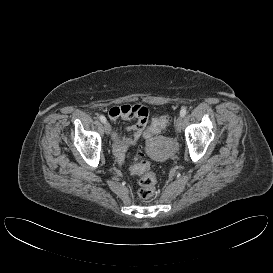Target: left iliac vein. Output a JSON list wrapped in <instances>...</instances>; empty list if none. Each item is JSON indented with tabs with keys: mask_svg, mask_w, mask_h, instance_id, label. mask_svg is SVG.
I'll list each match as a JSON object with an SVG mask.
<instances>
[{
	"mask_svg": "<svg viewBox=\"0 0 273 273\" xmlns=\"http://www.w3.org/2000/svg\"><path fill=\"white\" fill-rule=\"evenodd\" d=\"M175 127L178 132H180L183 128V117L180 115L175 120Z\"/></svg>",
	"mask_w": 273,
	"mask_h": 273,
	"instance_id": "4c4485c4",
	"label": "left iliac vein"
}]
</instances>
